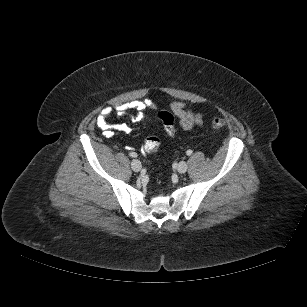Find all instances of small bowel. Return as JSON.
Instances as JSON below:
<instances>
[{
  "label": "small bowel",
  "instance_id": "1",
  "mask_svg": "<svg viewBox=\"0 0 307 307\" xmlns=\"http://www.w3.org/2000/svg\"><path fill=\"white\" fill-rule=\"evenodd\" d=\"M154 107L155 106L150 99H144L118 105L115 107V111L118 115L129 117L133 122H140L146 119L147 110L153 109ZM170 109L178 118L181 128L185 131H190L203 124V116L187 109L184 102H172ZM112 112L113 109L111 107H105L96 117V125L101 129L102 134L106 138H111L118 132L130 134L132 129L128 124L120 123L112 125L109 123V117Z\"/></svg>",
  "mask_w": 307,
  "mask_h": 307
}]
</instances>
